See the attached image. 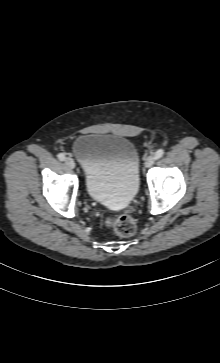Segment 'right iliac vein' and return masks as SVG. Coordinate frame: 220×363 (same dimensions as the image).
I'll return each mask as SVG.
<instances>
[{
	"label": "right iliac vein",
	"mask_w": 220,
	"mask_h": 363,
	"mask_svg": "<svg viewBox=\"0 0 220 363\" xmlns=\"http://www.w3.org/2000/svg\"><path fill=\"white\" fill-rule=\"evenodd\" d=\"M65 164L70 169H74L75 168V162H74V160L72 158H66L65 159Z\"/></svg>",
	"instance_id": "obj_1"
}]
</instances>
